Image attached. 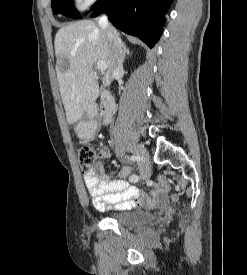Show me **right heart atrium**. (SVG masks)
<instances>
[{
	"mask_svg": "<svg viewBox=\"0 0 247 275\" xmlns=\"http://www.w3.org/2000/svg\"><path fill=\"white\" fill-rule=\"evenodd\" d=\"M97 0H75V6L78 10H85L93 5Z\"/></svg>",
	"mask_w": 247,
	"mask_h": 275,
	"instance_id": "1",
	"label": "right heart atrium"
}]
</instances>
